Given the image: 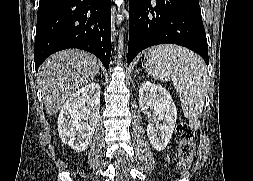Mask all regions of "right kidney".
I'll return each instance as SVG.
<instances>
[{"mask_svg":"<svg viewBox=\"0 0 253 181\" xmlns=\"http://www.w3.org/2000/svg\"><path fill=\"white\" fill-rule=\"evenodd\" d=\"M100 85L92 82L72 93L58 117V132L63 143L76 152L85 151L99 118Z\"/></svg>","mask_w":253,"mask_h":181,"instance_id":"1","label":"right kidney"}]
</instances>
